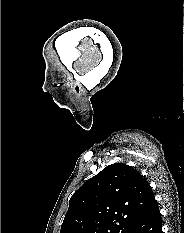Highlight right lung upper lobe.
Masks as SVG:
<instances>
[{
    "label": "right lung upper lobe",
    "instance_id": "1",
    "mask_svg": "<svg viewBox=\"0 0 184 233\" xmlns=\"http://www.w3.org/2000/svg\"><path fill=\"white\" fill-rule=\"evenodd\" d=\"M155 204L138 170L111 164L72 195L60 233H126Z\"/></svg>",
    "mask_w": 184,
    "mask_h": 233
}]
</instances>
